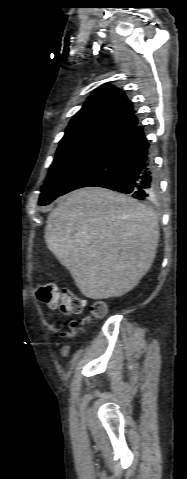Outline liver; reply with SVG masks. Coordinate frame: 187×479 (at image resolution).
I'll list each match as a JSON object with an SVG mask.
<instances>
[{
  "label": "liver",
  "instance_id": "1",
  "mask_svg": "<svg viewBox=\"0 0 187 479\" xmlns=\"http://www.w3.org/2000/svg\"><path fill=\"white\" fill-rule=\"evenodd\" d=\"M49 250L88 298L134 289L149 271L159 241L157 215L130 196L98 187L58 199L47 219Z\"/></svg>",
  "mask_w": 187,
  "mask_h": 479
}]
</instances>
